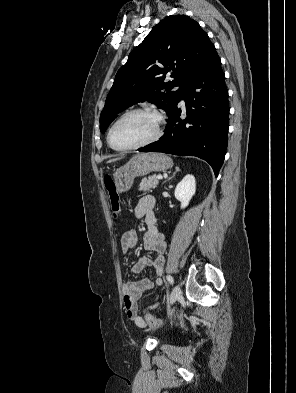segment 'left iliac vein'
Listing matches in <instances>:
<instances>
[{"instance_id": "obj_1", "label": "left iliac vein", "mask_w": 296, "mask_h": 393, "mask_svg": "<svg viewBox=\"0 0 296 393\" xmlns=\"http://www.w3.org/2000/svg\"><path fill=\"white\" fill-rule=\"evenodd\" d=\"M180 296H181V289L179 285H175L170 296V302H169L170 305L174 304Z\"/></svg>"}]
</instances>
